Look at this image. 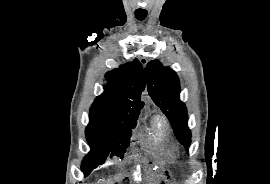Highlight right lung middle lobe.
<instances>
[{"instance_id": "right-lung-middle-lobe-1", "label": "right lung middle lobe", "mask_w": 270, "mask_h": 184, "mask_svg": "<svg viewBox=\"0 0 270 184\" xmlns=\"http://www.w3.org/2000/svg\"><path fill=\"white\" fill-rule=\"evenodd\" d=\"M137 121L128 123L97 121L90 118L86 127V139L91 151L82 161V172L85 176L103 164L111 153L123 157L124 151L129 146L132 129Z\"/></svg>"}]
</instances>
